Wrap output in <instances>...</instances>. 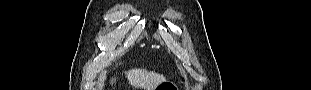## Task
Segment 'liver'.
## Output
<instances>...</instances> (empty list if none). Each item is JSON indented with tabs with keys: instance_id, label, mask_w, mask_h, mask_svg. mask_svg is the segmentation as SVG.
Instances as JSON below:
<instances>
[{
	"instance_id": "6515ba94",
	"label": "liver",
	"mask_w": 311,
	"mask_h": 90,
	"mask_svg": "<svg viewBox=\"0 0 311 90\" xmlns=\"http://www.w3.org/2000/svg\"><path fill=\"white\" fill-rule=\"evenodd\" d=\"M125 75L132 87L142 88L143 90H155L156 87L165 81V77L156 72H148L144 69H131ZM116 79L112 80V84Z\"/></svg>"
}]
</instances>
